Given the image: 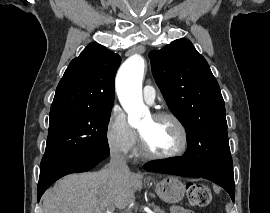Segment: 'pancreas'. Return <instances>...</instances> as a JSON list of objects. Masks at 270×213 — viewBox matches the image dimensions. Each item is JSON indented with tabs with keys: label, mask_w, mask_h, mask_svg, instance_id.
I'll use <instances>...</instances> for the list:
<instances>
[{
	"label": "pancreas",
	"mask_w": 270,
	"mask_h": 213,
	"mask_svg": "<svg viewBox=\"0 0 270 213\" xmlns=\"http://www.w3.org/2000/svg\"><path fill=\"white\" fill-rule=\"evenodd\" d=\"M150 206H152L154 213H165V211L161 209L159 206H156L154 204H151Z\"/></svg>",
	"instance_id": "pancreas-1"
}]
</instances>
